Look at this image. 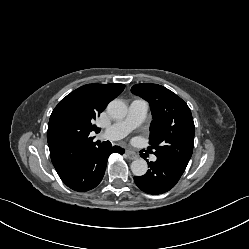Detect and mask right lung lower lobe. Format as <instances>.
<instances>
[{
	"instance_id": "98d812e1",
	"label": "right lung lower lobe",
	"mask_w": 249,
	"mask_h": 249,
	"mask_svg": "<svg viewBox=\"0 0 249 249\" xmlns=\"http://www.w3.org/2000/svg\"><path fill=\"white\" fill-rule=\"evenodd\" d=\"M114 152L123 154L124 149L114 146L109 150L98 144L90 149L66 176L61 178L62 181L69 188L79 192L95 188L104 176L108 157Z\"/></svg>"
}]
</instances>
